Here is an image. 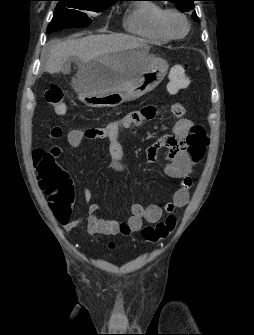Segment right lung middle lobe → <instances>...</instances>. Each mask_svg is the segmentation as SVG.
<instances>
[{"label":"right lung middle lobe","instance_id":"1","mask_svg":"<svg viewBox=\"0 0 254 335\" xmlns=\"http://www.w3.org/2000/svg\"><path fill=\"white\" fill-rule=\"evenodd\" d=\"M53 18L47 28V33H52L65 28H83L90 24L91 18L88 12H100L113 2L96 0H57Z\"/></svg>","mask_w":254,"mask_h":335}]
</instances>
